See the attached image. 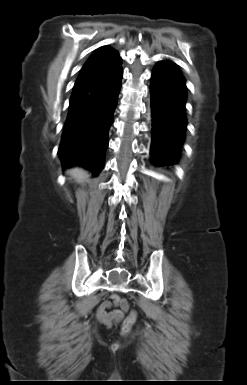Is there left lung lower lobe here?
Listing matches in <instances>:
<instances>
[{
  "mask_svg": "<svg viewBox=\"0 0 247 385\" xmlns=\"http://www.w3.org/2000/svg\"><path fill=\"white\" fill-rule=\"evenodd\" d=\"M152 162L157 165L176 163L184 141L186 84L177 65L159 61L151 78Z\"/></svg>",
  "mask_w": 247,
  "mask_h": 385,
  "instance_id": "left-lung-lower-lobe-1",
  "label": "left lung lower lobe"
}]
</instances>
